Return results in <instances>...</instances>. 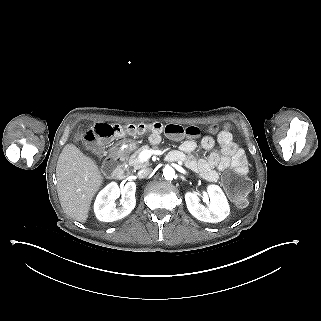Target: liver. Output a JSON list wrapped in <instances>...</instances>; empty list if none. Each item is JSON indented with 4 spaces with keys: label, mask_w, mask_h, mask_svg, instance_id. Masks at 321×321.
Segmentation results:
<instances>
[{
    "label": "liver",
    "mask_w": 321,
    "mask_h": 321,
    "mask_svg": "<svg viewBox=\"0 0 321 321\" xmlns=\"http://www.w3.org/2000/svg\"><path fill=\"white\" fill-rule=\"evenodd\" d=\"M83 131L75 133L78 142ZM58 196L64 212L72 219L86 223L93 197L103 185L104 177L97 162L75 145H66L56 167Z\"/></svg>",
    "instance_id": "obj_1"
}]
</instances>
